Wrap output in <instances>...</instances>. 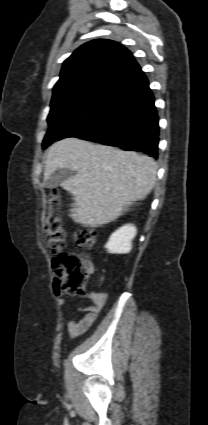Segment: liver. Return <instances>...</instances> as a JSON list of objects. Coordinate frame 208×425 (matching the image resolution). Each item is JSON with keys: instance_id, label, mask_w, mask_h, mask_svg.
I'll list each match as a JSON object with an SVG mask.
<instances>
[{"instance_id": "1", "label": "liver", "mask_w": 208, "mask_h": 425, "mask_svg": "<svg viewBox=\"0 0 208 425\" xmlns=\"http://www.w3.org/2000/svg\"><path fill=\"white\" fill-rule=\"evenodd\" d=\"M60 168L76 172L61 186L74 196L69 216L85 227L112 222L133 202L145 199L157 173L151 157L77 138H65L50 147L44 181Z\"/></svg>"}]
</instances>
